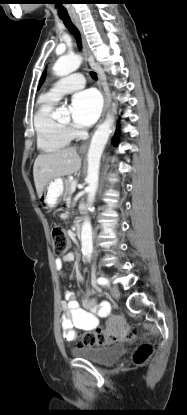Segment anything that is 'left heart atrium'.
Returning <instances> with one entry per match:
<instances>
[{
  "label": "left heart atrium",
  "mask_w": 187,
  "mask_h": 415,
  "mask_svg": "<svg viewBox=\"0 0 187 415\" xmlns=\"http://www.w3.org/2000/svg\"><path fill=\"white\" fill-rule=\"evenodd\" d=\"M101 110V98L93 89L76 93L71 100L70 111L77 127H89L98 118Z\"/></svg>",
  "instance_id": "left-heart-atrium-1"
}]
</instances>
